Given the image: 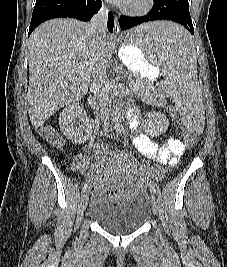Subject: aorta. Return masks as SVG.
Segmentation results:
<instances>
[{"mask_svg":"<svg viewBox=\"0 0 227 267\" xmlns=\"http://www.w3.org/2000/svg\"><path fill=\"white\" fill-rule=\"evenodd\" d=\"M120 122H121V112L120 109L118 108V105H116L114 108V123L116 126H119Z\"/></svg>","mask_w":227,"mask_h":267,"instance_id":"obj_1","label":"aorta"}]
</instances>
